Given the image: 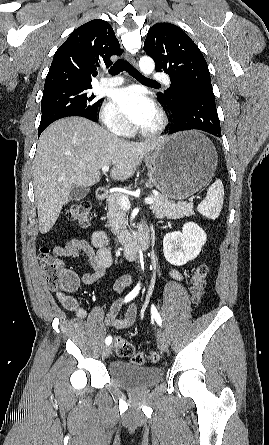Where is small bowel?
I'll list each match as a JSON object with an SVG mask.
<instances>
[{"label": "small bowel", "instance_id": "1", "mask_svg": "<svg viewBox=\"0 0 269 445\" xmlns=\"http://www.w3.org/2000/svg\"><path fill=\"white\" fill-rule=\"evenodd\" d=\"M144 231H146V229H144ZM53 254L57 258L71 257L82 260L84 273L81 280L86 285H92L97 282L104 275L106 269L112 264V255L108 248V238L103 231L94 232L90 243L85 239L78 238L68 240L64 245L56 247ZM67 272L75 279L78 285V277L71 271L67 270ZM170 275L173 279L179 281L183 279L181 274L175 270H172ZM132 284L133 279L130 276H122L116 280L113 290L115 294L119 295L126 287H129ZM59 298L63 306L77 318L84 319L86 317V309L79 306L74 297L61 291L59 293ZM120 308V300L115 299L108 309L105 323L108 326L124 330L130 328L134 324L138 308L135 304H131L127 308L124 317L118 318Z\"/></svg>", "mask_w": 269, "mask_h": 445}]
</instances>
